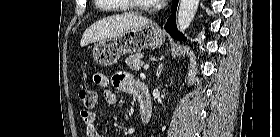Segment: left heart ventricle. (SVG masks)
<instances>
[{
  "label": "left heart ventricle",
  "mask_w": 280,
  "mask_h": 137,
  "mask_svg": "<svg viewBox=\"0 0 280 137\" xmlns=\"http://www.w3.org/2000/svg\"><path fill=\"white\" fill-rule=\"evenodd\" d=\"M141 1L144 2V3H150L149 0H141Z\"/></svg>",
  "instance_id": "obj_1"
}]
</instances>
